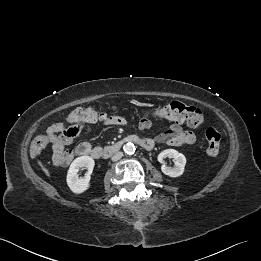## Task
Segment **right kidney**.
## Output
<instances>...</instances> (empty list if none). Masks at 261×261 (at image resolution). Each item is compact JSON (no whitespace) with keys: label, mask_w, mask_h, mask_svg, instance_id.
Returning a JSON list of instances; mask_svg holds the SVG:
<instances>
[{"label":"right kidney","mask_w":261,"mask_h":261,"mask_svg":"<svg viewBox=\"0 0 261 261\" xmlns=\"http://www.w3.org/2000/svg\"><path fill=\"white\" fill-rule=\"evenodd\" d=\"M94 165V159L90 156H81L72 162L67 172V184L72 192L80 194L89 189L90 175L93 171ZM82 167L87 169V173L84 177L79 178L77 173Z\"/></svg>","instance_id":"1"}]
</instances>
